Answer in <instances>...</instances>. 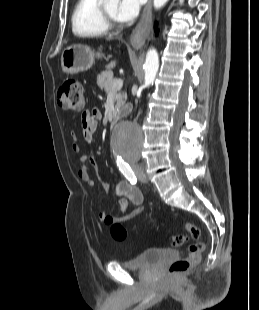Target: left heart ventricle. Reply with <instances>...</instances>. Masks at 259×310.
<instances>
[{"label": "left heart ventricle", "mask_w": 259, "mask_h": 310, "mask_svg": "<svg viewBox=\"0 0 259 310\" xmlns=\"http://www.w3.org/2000/svg\"><path fill=\"white\" fill-rule=\"evenodd\" d=\"M117 7H118V3L115 1L106 2L104 4V8L107 11V13L114 19H116Z\"/></svg>", "instance_id": "b2bd125f"}]
</instances>
